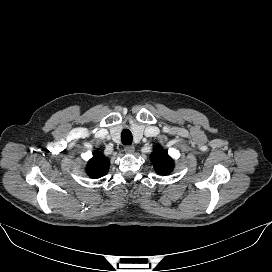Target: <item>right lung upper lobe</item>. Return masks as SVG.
<instances>
[{"label": "right lung upper lobe", "instance_id": "right-lung-upper-lobe-1", "mask_svg": "<svg viewBox=\"0 0 272 272\" xmlns=\"http://www.w3.org/2000/svg\"><path fill=\"white\" fill-rule=\"evenodd\" d=\"M109 163L107 157L101 153H96L93 158L89 160L86 172L92 178H100L107 174Z\"/></svg>", "mask_w": 272, "mask_h": 272}]
</instances>
